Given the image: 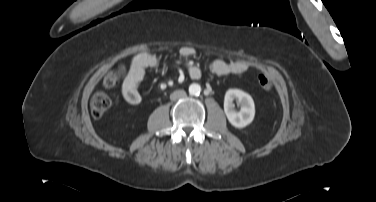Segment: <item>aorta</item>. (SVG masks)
Here are the masks:
<instances>
[{
	"label": "aorta",
	"mask_w": 376,
	"mask_h": 202,
	"mask_svg": "<svg viewBox=\"0 0 376 202\" xmlns=\"http://www.w3.org/2000/svg\"><path fill=\"white\" fill-rule=\"evenodd\" d=\"M201 92V87L197 83H193L189 86L190 95H199Z\"/></svg>",
	"instance_id": "obj_1"
}]
</instances>
